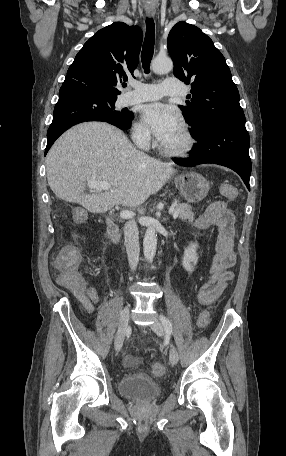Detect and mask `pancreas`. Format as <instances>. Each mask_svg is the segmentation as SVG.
Listing matches in <instances>:
<instances>
[{"label": "pancreas", "mask_w": 286, "mask_h": 456, "mask_svg": "<svg viewBox=\"0 0 286 456\" xmlns=\"http://www.w3.org/2000/svg\"><path fill=\"white\" fill-rule=\"evenodd\" d=\"M174 210H179V218L182 220L193 221L194 213L192 207L186 203H178L175 205Z\"/></svg>", "instance_id": "pancreas-1"}]
</instances>
